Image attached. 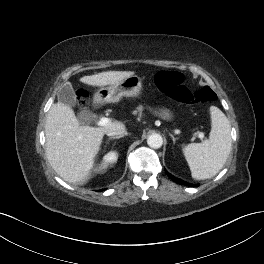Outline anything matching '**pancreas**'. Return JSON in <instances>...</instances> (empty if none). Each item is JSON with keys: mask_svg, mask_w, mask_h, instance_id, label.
<instances>
[{"mask_svg": "<svg viewBox=\"0 0 264 264\" xmlns=\"http://www.w3.org/2000/svg\"><path fill=\"white\" fill-rule=\"evenodd\" d=\"M143 110L142 106L137 107V110L133 111V114H137L138 112H141Z\"/></svg>", "mask_w": 264, "mask_h": 264, "instance_id": "cf45deb5", "label": "pancreas"}]
</instances>
